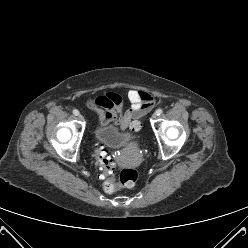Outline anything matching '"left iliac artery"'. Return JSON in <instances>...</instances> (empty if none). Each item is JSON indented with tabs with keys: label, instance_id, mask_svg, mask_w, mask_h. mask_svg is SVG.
<instances>
[{
	"label": "left iliac artery",
	"instance_id": "1",
	"mask_svg": "<svg viewBox=\"0 0 248 248\" xmlns=\"http://www.w3.org/2000/svg\"><path fill=\"white\" fill-rule=\"evenodd\" d=\"M162 112H163V110H162L161 108H159V109L156 110V114H157V115H161Z\"/></svg>",
	"mask_w": 248,
	"mask_h": 248
}]
</instances>
